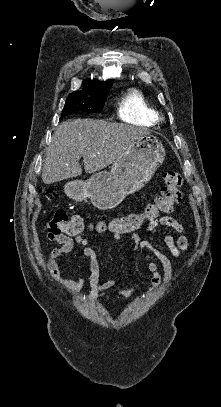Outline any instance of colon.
Masks as SVG:
<instances>
[{"label":"colon","instance_id":"1","mask_svg":"<svg viewBox=\"0 0 221 407\" xmlns=\"http://www.w3.org/2000/svg\"><path fill=\"white\" fill-rule=\"evenodd\" d=\"M165 185L162 187L160 195L153 202L148 204L141 212L130 213L128 215L114 218L109 224V231L112 234L122 235L135 232L141 226L151 220H156L165 214L170 213L182 198L181 186L182 177L173 171H169L164 176ZM105 224L100 222L96 230L102 231ZM84 231V222L80 215L68 216L65 211L59 210L47 225V235L55 238L61 235L78 236Z\"/></svg>","mask_w":221,"mask_h":407}]
</instances>
